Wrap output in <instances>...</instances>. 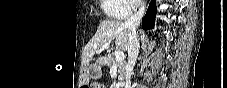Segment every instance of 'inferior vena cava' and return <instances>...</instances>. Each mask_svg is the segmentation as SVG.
<instances>
[{"label": "inferior vena cava", "mask_w": 227, "mask_h": 88, "mask_svg": "<svg viewBox=\"0 0 227 88\" xmlns=\"http://www.w3.org/2000/svg\"><path fill=\"white\" fill-rule=\"evenodd\" d=\"M145 13V3H141L139 10L132 16H130L125 22L124 26L129 30V41H128V64L125 74V88H131V74L136 63L139 54V40L137 34V27Z\"/></svg>", "instance_id": "1"}]
</instances>
